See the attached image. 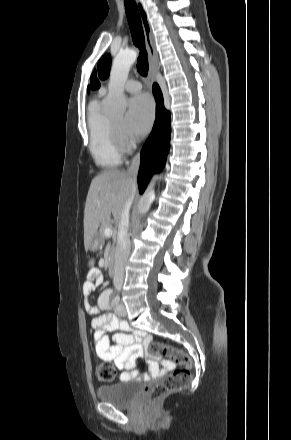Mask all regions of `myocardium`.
Returning a JSON list of instances; mask_svg holds the SVG:
<instances>
[{
	"mask_svg": "<svg viewBox=\"0 0 291 440\" xmlns=\"http://www.w3.org/2000/svg\"><path fill=\"white\" fill-rule=\"evenodd\" d=\"M109 126H110L113 140H114L116 146L118 147V149L123 150L124 148H126L127 139L124 136L123 131L118 126H116L111 119L109 120Z\"/></svg>",
	"mask_w": 291,
	"mask_h": 440,
	"instance_id": "obj_1",
	"label": "myocardium"
}]
</instances>
